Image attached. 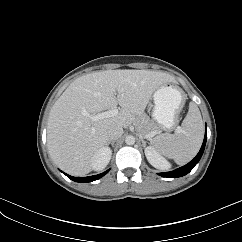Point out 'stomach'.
I'll return each instance as SVG.
<instances>
[{"mask_svg":"<svg viewBox=\"0 0 242 242\" xmlns=\"http://www.w3.org/2000/svg\"><path fill=\"white\" fill-rule=\"evenodd\" d=\"M152 117L159 128L171 130L179 122V114L185 103L184 92L176 85L165 83L153 94Z\"/></svg>","mask_w":242,"mask_h":242,"instance_id":"1","label":"stomach"}]
</instances>
